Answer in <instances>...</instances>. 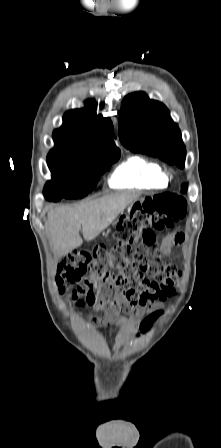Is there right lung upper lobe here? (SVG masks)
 I'll list each match as a JSON object with an SVG mask.
<instances>
[{
  "label": "right lung upper lobe",
  "mask_w": 221,
  "mask_h": 448,
  "mask_svg": "<svg viewBox=\"0 0 221 448\" xmlns=\"http://www.w3.org/2000/svg\"><path fill=\"white\" fill-rule=\"evenodd\" d=\"M113 125L109 117L95 112V101L88 100L83 109L67 111L63 126L53 132L55 148L80 157H104L120 150L115 146ZM112 147L109 153V147Z\"/></svg>",
  "instance_id": "1"
}]
</instances>
